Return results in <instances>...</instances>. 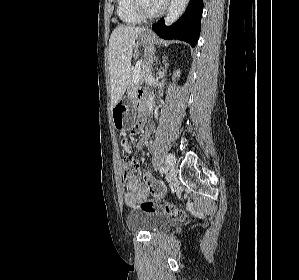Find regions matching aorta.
<instances>
[{
	"label": "aorta",
	"instance_id": "762f6f07",
	"mask_svg": "<svg viewBox=\"0 0 299 280\" xmlns=\"http://www.w3.org/2000/svg\"><path fill=\"white\" fill-rule=\"evenodd\" d=\"M189 0H172L168 8V13L165 17V24L171 25L174 23L185 11ZM154 107V93L151 92L147 100L148 114H151Z\"/></svg>",
	"mask_w": 299,
	"mask_h": 280
}]
</instances>
